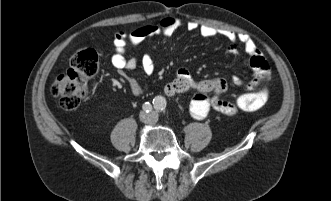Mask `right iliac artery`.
Masks as SVG:
<instances>
[{
	"label": "right iliac artery",
	"instance_id": "obj_1",
	"mask_svg": "<svg viewBox=\"0 0 331 201\" xmlns=\"http://www.w3.org/2000/svg\"><path fill=\"white\" fill-rule=\"evenodd\" d=\"M143 110L146 112H150L152 110V105L149 102L144 103Z\"/></svg>",
	"mask_w": 331,
	"mask_h": 201
}]
</instances>
